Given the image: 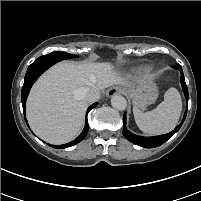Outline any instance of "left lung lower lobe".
<instances>
[{
  "instance_id": "0a47b994",
  "label": "left lung lower lobe",
  "mask_w": 201,
  "mask_h": 201,
  "mask_svg": "<svg viewBox=\"0 0 201 201\" xmlns=\"http://www.w3.org/2000/svg\"><path fill=\"white\" fill-rule=\"evenodd\" d=\"M172 67L176 70H179L181 73L180 81H181L183 92H184V95H185V98H186L187 104H188V89H187V86L185 83L182 67L178 63ZM186 114H187V110L183 116L182 122L172 132H170L168 134H164V135L154 136V137H142V136L135 135V134L131 133L130 131H128L125 127L126 117L124 115L123 135L125 136V138L127 140H129L130 142H132L136 145H139V146L145 147V148H155V147L162 145L164 142H166L169 138H171L180 129V127L182 126V124L186 118Z\"/></svg>"
}]
</instances>
